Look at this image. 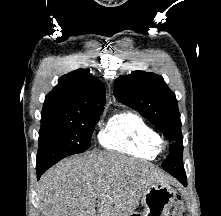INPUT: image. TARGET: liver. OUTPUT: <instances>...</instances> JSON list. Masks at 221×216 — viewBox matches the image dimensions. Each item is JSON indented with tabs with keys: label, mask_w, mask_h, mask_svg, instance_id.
Returning <instances> with one entry per match:
<instances>
[{
	"label": "liver",
	"mask_w": 221,
	"mask_h": 216,
	"mask_svg": "<svg viewBox=\"0 0 221 216\" xmlns=\"http://www.w3.org/2000/svg\"><path fill=\"white\" fill-rule=\"evenodd\" d=\"M168 179L158 167L116 153L67 158L40 179L42 216H130L148 187Z\"/></svg>",
	"instance_id": "liver-1"
}]
</instances>
